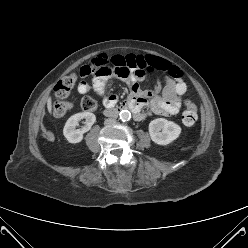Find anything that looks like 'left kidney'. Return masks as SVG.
<instances>
[{
	"label": "left kidney",
	"instance_id": "1",
	"mask_svg": "<svg viewBox=\"0 0 248 248\" xmlns=\"http://www.w3.org/2000/svg\"><path fill=\"white\" fill-rule=\"evenodd\" d=\"M181 133V127L164 118H157L149 123V134L153 142L167 145L176 140Z\"/></svg>",
	"mask_w": 248,
	"mask_h": 248
}]
</instances>
